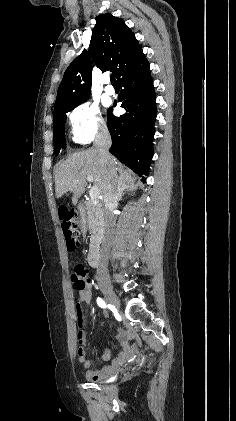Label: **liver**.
Returning a JSON list of instances; mask_svg holds the SVG:
<instances>
[{
  "instance_id": "1",
  "label": "liver",
  "mask_w": 236,
  "mask_h": 421,
  "mask_svg": "<svg viewBox=\"0 0 236 421\" xmlns=\"http://www.w3.org/2000/svg\"><path fill=\"white\" fill-rule=\"evenodd\" d=\"M109 166L118 168L121 174L117 178L118 184H134V178L129 168H122L121 162L109 158L108 164L101 162V156L97 148H88L82 152L69 154L66 160L59 162L55 168V192L56 198L63 196L64 192H73L72 204H77L78 198L83 194L87 186V176H93L100 196L103 198L105 186L109 182Z\"/></svg>"
}]
</instances>
